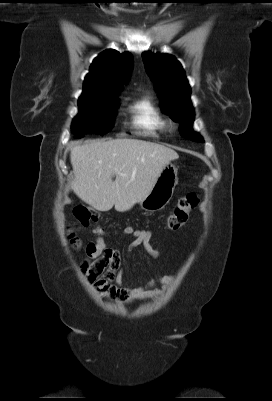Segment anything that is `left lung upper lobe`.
I'll return each mask as SVG.
<instances>
[{"label": "left lung upper lobe", "mask_w": 272, "mask_h": 401, "mask_svg": "<svg viewBox=\"0 0 272 401\" xmlns=\"http://www.w3.org/2000/svg\"><path fill=\"white\" fill-rule=\"evenodd\" d=\"M142 58L162 101V110L180 122V132L185 138L204 142L192 130L194 109L190 101L191 91L181 64L169 54L144 52Z\"/></svg>", "instance_id": "left-lung-upper-lobe-1"}]
</instances>
